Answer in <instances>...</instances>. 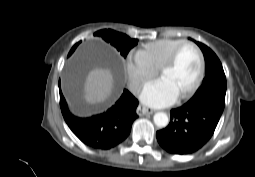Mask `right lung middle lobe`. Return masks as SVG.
Wrapping results in <instances>:
<instances>
[{
  "mask_svg": "<svg viewBox=\"0 0 255 177\" xmlns=\"http://www.w3.org/2000/svg\"><path fill=\"white\" fill-rule=\"evenodd\" d=\"M94 35L102 37L103 40L113 45L124 57H126L130 49L138 43L137 39H131L126 34L119 33L111 29L100 30ZM77 45L78 44H76L75 48Z\"/></svg>",
  "mask_w": 255,
  "mask_h": 177,
  "instance_id": "dd1d6c3e",
  "label": "right lung middle lobe"
}]
</instances>
